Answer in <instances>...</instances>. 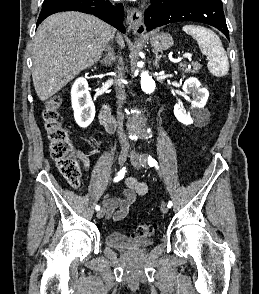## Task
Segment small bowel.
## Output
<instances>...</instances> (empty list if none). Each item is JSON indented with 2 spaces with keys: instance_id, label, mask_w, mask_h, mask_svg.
<instances>
[{
  "instance_id": "obj_1",
  "label": "small bowel",
  "mask_w": 259,
  "mask_h": 294,
  "mask_svg": "<svg viewBox=\"0 0 259 294\" xmlns=\"http://www.w3.org/2000/svg\"><path fill=\"white\" fill-rule=\"evenodd\" d=\"M80 159L83 166L89 167V160L86 155L80 154ZM126 188L114 197L104 199L103 205L106 207L107 216L115 221L123 220L129 213L130 207L136 200L137 196H143L148 192V187L145 183L138 181L133 177L124 180Z\"/></svg>"
}]
</instances>
